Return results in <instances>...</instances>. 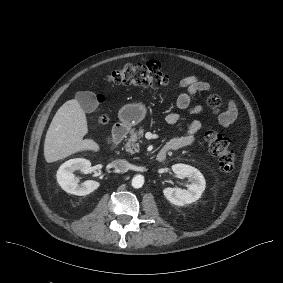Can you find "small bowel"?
<instances>
[{
    "mask_svg": "<svg viewBox=\"0 0 283 283\" xmlns=\"http://www.w3.org/2000/svg\"><path fill=\"white\" fill-rule=\"evenodd\" d=\"M211 85L200 79L196 75H187L179 80L173 92L175 94V106L179 110H188L189 113L197 115L202 112L199 105L190 106L191 99L199 92L209 91ZM237 107L233 101H229L226 110L219 116V124L222 127H229L236 122ZM165 120L168 124L174 125L180 120L178 112H170L166 115ZM202 129V123L199 120L192 121L186 129L179 135L173 136L166 147L168 150H177L186 146H190L195 142V134Z\"/></svg>",
    "mask_w": 283,
    "mask_h": 283,
    "instance_id": "c3829d8e",
    "label": "small bowel"
}]
</instances>
